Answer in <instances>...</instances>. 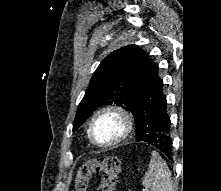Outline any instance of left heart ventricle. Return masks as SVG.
Returning a JSON list of instances; mask_svg holds the SVG:
<instances>
[{"label": "left heart ventricle", "mask_w": 221, "mask_h": 191, "mask_svg": "<svg viewBox=\"0 0 221 191\" xmlns=\"http://www.w3.org/2000/svg\"><path fill=\"white\" fill-rule=\"evenodd\" d=\"M94 137L100 143L115 139L121 132V122L113 115H105L97 120L94 125Z\"/></svg>", "instance_id": "b2bd125f"}]
</instances>
